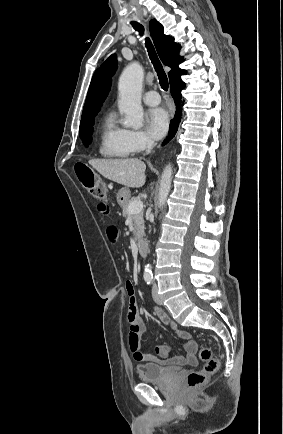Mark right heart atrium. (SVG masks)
<instances>
[{"instance_id":"1","label":"right heart atrium","mask_w":283,"mask_h":434,"mask_svg":"<svg viewBox=\"0 0 283 434\" xmlns=\"http://www.w3.org/2000/svg\"><path fill=\"white\" fill-rule=\"evenodd\" d=\"M126 140L131 153L142 152L153 145V140L143 130H137V129L127 130Z\"/></svg>"}]
</instances>
